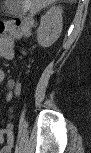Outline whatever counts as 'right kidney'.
I'll return each mask as SVG.
<instances>
[{"label":"right kidney","instance_id":"right-kidney-1","mask_svg":"<svg viewBox=\"0 0 91 153\" xmlns=\"http://www.w3.org/2000/svg\"><path fill=\"white\" fill-rule=\"evenodd\" d=\"M62 12L61 6L52 5L41 17L37 29V40L41 47L51 46L60 36L63 26Z\"/></svg>","mask_w":91,"mask_h":153}]
</instances>
